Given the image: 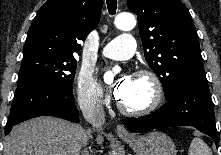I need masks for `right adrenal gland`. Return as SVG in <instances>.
I'll return each instance as SVG.
<instances>
[{
  "label": "right adrenal gland",
  "mask_w": 221,
  "mask_h": 155,
  "mask_svg": "<svg viewBox=\"0 0 221 155\" xmlns=\"http://www.w3.org/2000/svg\"><path fill=\"white\" fill-rule=\"evenodd\" d=\"M86 151L84 150V151H82V155H86L87 153H85Z\"/></svg>",
  "instance_id": "obj_1"
}]
</instances>
